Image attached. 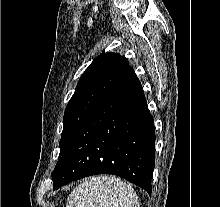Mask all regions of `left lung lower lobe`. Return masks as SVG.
I'll use <instances>...</instances> for the list:
<instances>
[{
	"label": "left lung lower lobe",
	"mask_w": 220,
	"mask_h": 207,
	"mask_svg": "<svg viewBox=\"0 0 220 207\" xmlns=\"http://www.w3.org/2000/svg\"><path fill=\"white\" fill-rule=\"evenodd\" d=\"M155 128L133 68L115 82L58 159L54 190L71 181L113 174L152 192Z\"/></svg>",
	"instance_id": "left-lung-lower-lobe-1"
}]
</instances>
